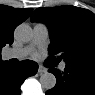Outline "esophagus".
Masks as SVG:
<instances>
[{"label": "esophagus", "mask_w": 95, "mask_h": 95, "mask_svg": "<svg viewBox=\"0 0 95 95\" xmlns=\"http://www.w3.org/2000/svg\"><path fill=\"white\" fill-rule=\"evenodd\" d=\"M46 72H47V69L40 65L39 68H38V73L43 74V73H46Z\"/></svg>", "instance_id": "34e87169"}]
</instances>
